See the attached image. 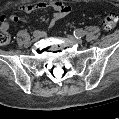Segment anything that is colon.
I'll list each match as a JSON object with an SVG mask.
<instances>
[{
  "label": "colon",
  "mask_w": 119,
  "mask_h": 119,
  "mask_svg": "<svg viewBox=\"0 0 119 119\" xmlns=\"http://www.w3.org/2000/svg\"><path fill=\"white\" fill-rule=\"evenodd\" d=\"M118 22V17L114 13L107 14L103 20V26L106 30H112L116 27ZM10 41L9 31L1 26L0 28V44L5 45Z\"/></svg>",
  "instance_id": "5ec220e1"
}]
</instances>
